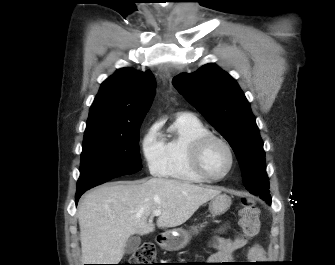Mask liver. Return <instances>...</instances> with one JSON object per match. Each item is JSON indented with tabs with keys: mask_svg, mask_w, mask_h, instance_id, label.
Segmentation results:
<instances>
[{
	"mask_svg": "<svg viewBox=\"0 0 335 265\" xmlns=\"http://www.w3.org/2000/svg\"><path fill=\"white\" fill-rule=\"evenodd\" d=\"M220 193L213 187L163 178L114 182L93 189L78 209L82 264H118L131 235L154 231L155 210H161L159 228L180 226Z\"/></svg>",
	"mask_w": 335,
	"mask_h": 265,
	"instance_id": "6515ba94",
	"label": "liver"
}]
</instances>
